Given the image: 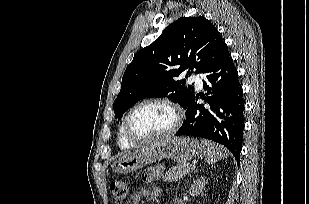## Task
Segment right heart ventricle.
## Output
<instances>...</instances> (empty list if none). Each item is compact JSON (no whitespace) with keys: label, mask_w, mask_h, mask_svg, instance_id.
<instances>
[{"label":"right heart ventricle","mask_w":309,"mask_h":204,"mask_svg":"<svg viewBox=\"0 0 309 204\" xmlns=\"http://www.w3.org/2000/svg\"><path fill=\"white\" fill-rule=\"evenodd\" d=\"M123 124L124 121L121 123L120 127H119V133H118V143L119 146L123 149H128L133 147L134 143L130 142L124 135V131H123Z\"/></svg>","instance_id":"obj_1"}]
</instances>
